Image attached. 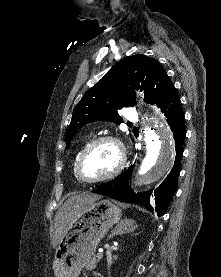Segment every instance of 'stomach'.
I'll return each instance as SVG.
<instances>
[{"label":"stomach","mask_w":221,"mask_h":277,"mask_svg":"<svg viewBox=\"0 0 221 277\" xmlns=\"http://www.w3.org/2000/svg\"><path fill=\"white\" fill-rule=\"evenodd\" d=\"M120 215V208L110 200H98L85 207L71 222L56 248L53 260L55 276L78 277Z\"/></svg>","instance_id":"stomach-1"}]
</instances>
